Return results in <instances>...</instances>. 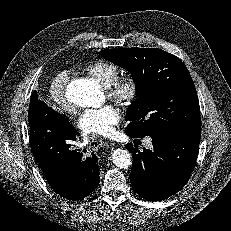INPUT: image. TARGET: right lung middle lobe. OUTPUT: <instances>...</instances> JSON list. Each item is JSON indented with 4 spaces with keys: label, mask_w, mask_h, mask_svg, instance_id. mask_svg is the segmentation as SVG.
Listing matches in <instances>:
<instances>
[{
    "label": "right lung middle lobe",
    "mask_w": 231,
    "mask_h": 231,
    "mask_svg": "<svg viewBox=\"0 0 231 231\" xmlns=\"http://www.w3.org/2000/svg\"><path fill=\"white\" fill-rule=\"evenodd\" d=\"M33 103H34V100L30 101L29 112H28V120H29V122L32 120V115H33V112H34Z\"/></svg>",
    "instance_id": "1"
}]
</instances>
